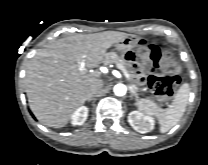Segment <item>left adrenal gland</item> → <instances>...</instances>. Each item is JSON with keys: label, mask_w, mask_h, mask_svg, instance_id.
I'll use <instances>...</instances> for the list:
<instances>
[{"label": "left adrenal gland", "mask_w": 208, "mask_h": 165, "mask_svg": "<svg viewBox=\"0 0 208 165\" xmlns=\"http://www.w3.org/2000/svg\"><path fill=\"white\" fill-rule=\"evenodd\" d=\"M129 89H130V93H131L130 97L131 98L135 97V100L138 101L139 97H138V94L136 93V91L132 87H130Z\"/></svg>", "instance_id": "left-adrenal-gland-1"}]
</instances>
